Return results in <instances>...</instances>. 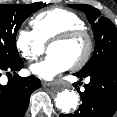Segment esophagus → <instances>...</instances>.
Here are the masks:
<instances>
[{
  "label": "esophagus",
  "mask_w": 117,
  "mask_h": 117,
  "mask_svg": "<svg viewBox=\"0 0 117 117\" xmlns=\"http://www.w3.org/2000/svg\"><path fill=\"white\" fill-rule=\"evenodd\" d=\"M42 86H43V87H51V86H53V84L50 83V82L43 81V82H42Z\"/></svg>",
  "instance_id": "1"
}]
</instances>
